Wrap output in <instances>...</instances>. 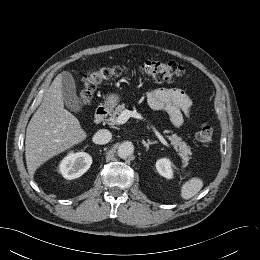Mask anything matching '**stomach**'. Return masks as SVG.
<instances>
[{
	"label": "stomach",
	"mask_w": 260,
	"mask_h": 260,
	"mask_svg": "<svg viewBox=\"0 0 260 260\" xmlns=\"http://www.w3.org/2000/svg\"><path fill=\"white\" fill-rule=\"evenodd\" d=\"M119 101V96L117 94H109L107 97V103L110 106L115 105Z\"/></svg>",
	"instance_id": "obj_1"
}]
</instances>
